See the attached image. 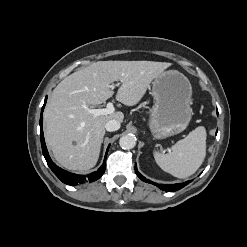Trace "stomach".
<instances>
[{
  "mask_svg": "<svg viewBox=\"0 0 247 247\" xmlns=\"http://www.w3.org/2000/svg\"><path fill=\"white\" fill-rule=\"evenodd\" d=\"M154 105L149 127L156 139L184 131L192 117V87L188 78L177 70L163 71L152 82Z\"/></svg>",
  "mask_w": 247,
  "mask_h": 247,
  "instance_id": "0dacf381",
  "label": "stomach"
}]
</instances>
